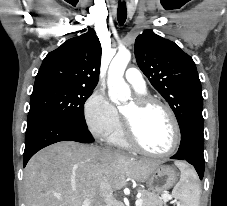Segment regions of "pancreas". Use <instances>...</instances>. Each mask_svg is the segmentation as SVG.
I'll use <instances>...</instances> for the list:
<instances>
[{"label":"pancreas","instance_id":"obj_1","mask_svg":"<svg viewBox=\"0 0 227 206\" xmlns=\"http://www.w3.org/2000/svg\"><path fill=\"white\" fill-rule=\"evenodd\" d=\"M138 192L141 193L142 206H163L165 204L164 197H160L155 192L146 189H139Z\"/></svg>","mask_w":227,"mask_h":206}]
</instances>
